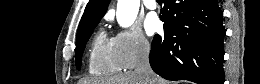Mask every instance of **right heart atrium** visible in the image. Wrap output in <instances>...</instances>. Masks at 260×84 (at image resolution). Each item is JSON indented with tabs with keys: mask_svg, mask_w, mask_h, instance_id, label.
Masks as SVG:
<instances>
[{
	"mask_svg": "<svg viewBox=\"0 0 260 84\" xmlns=\"http://www.w3.org/2000/svg\"><path fill=\"white\" fill-rule=\"evenodd\" d=\"M115 57L121 68L129 69L146 59L151 45L138 26L120 30L112 38Z\"/></svg>",
	"mask_w": 260,
	"mask_h": 84,
	"instance_id": "right-heart-atrium-1",
	"label": "right heart atrium"
}]
</instances>
